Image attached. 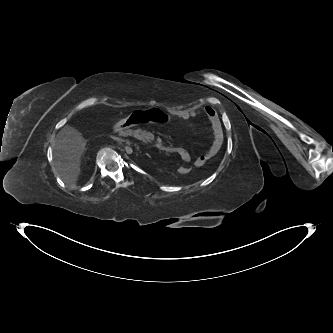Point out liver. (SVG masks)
Listing matches in <instances>:
<instances>
[{"mask_svg": "<svg viewBox=\"0 0 333 333\" xmlns=\"http://www.w3.org/2000/svg\"><path fill=\"white\" fill-rule=\"evenodd\" d=\"M87 140L73 127L65 126L54 143L53 165L62 180L74 188L81 172Z\"/></svg>", "mask_w": 333, "mask_h": 333, "instance_id": "1", "label": "liver"}]
</instances>
